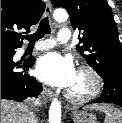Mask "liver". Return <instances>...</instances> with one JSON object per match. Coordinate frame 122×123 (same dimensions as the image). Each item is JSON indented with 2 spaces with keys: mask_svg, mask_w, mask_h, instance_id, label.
I'll return each instance as SVG.
<instances>
[{
  "mask_svg": "<svg viewBox=\"0 0 122 123\" xmlns=\"http://www.w3.org/2000/svg\"><path fill=\"white\" fill-rule=\"evenodd\" d=\"M34 115L22 103L1 99V123H34Z\"/></svg>",
  "mask_w": 122,
  "mask_h": 123,
  "instance_id": "6515ba94",
  "label": "liver"
}]
</instances>
